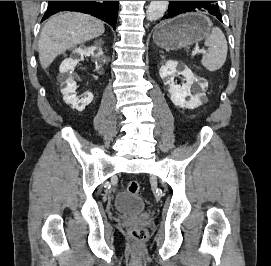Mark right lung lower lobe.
<instances>
[{
  "mask_svg": "<svg viewBox=\"0 0 271 266\" xmlns=\"http://www.w3.org/2000/svg\"><path fill=\"white\" fill-rule=\"evenodd\" d=\"M119 1H48V9L42 21L59 11H77L95 16L114 29L116 27Z\"/></svg>",
  "mask_w": 271,
  "mask_h": 266,
  "instance_id": "right-lung-lower-lobe-1",
  "label": "right lung lower lobe"
}]
</instances>
